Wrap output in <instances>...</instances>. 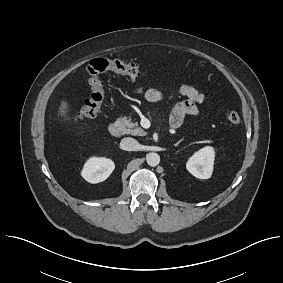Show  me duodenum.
<instances>
[{
    "label": "duodenum",
    "instance_id": "duodenum-1",
    "mask_svg": "<svg viewBox=\"0 0 283 283\" xmlns=\"http://www.w3.org/2000/svg\"><path fill=\"white\" fill-rule=\"evenodd\" d=\"M108 131L112 137H118L121 132V128L116 121H113L108 126Z\"/></svg>",
    "mask_w": 283,
    "mask_h": 283
}]
</instances>
